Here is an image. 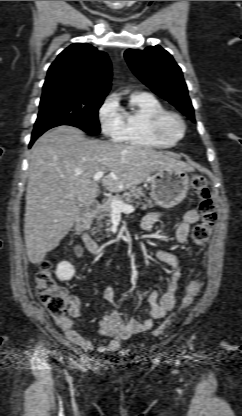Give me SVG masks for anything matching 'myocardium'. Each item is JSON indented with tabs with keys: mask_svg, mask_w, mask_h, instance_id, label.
<instances>
[{
	"mask_svg": "<svg viewBox=\"0 0 242 416\" xmlns=\"http://www.w3.org/2000/svg\"><path fill=\"white\" fill-rule=\"evenodd\" d=\"M168 119H174L179 123L181 130L178 135L174 136L166 130L165 125ZM151 127L156 136L174 143L180 141L186 132V124L182 116L177 112L169 110L156 114L152 120Z\"/></svg>",
	"mask_w": 242,
	"mask_h": 416,
	"instance_id": "obj_1",
	"label": "myocardium"
}]
</instances>
